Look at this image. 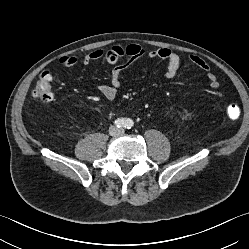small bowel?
Instances as JSON below:
<instances>
[{"label": "small bowel", "instance_id": "1", "mask_svg": "<svg viewBox=\"0 0 249 249\" xmlns=\"http://www.w3.org/2000/svg\"><path fill=\"white\" fill-rule=\"evenodd\" d=\"M148 57L157 59L166 63L164 76L167 79H173L181 66V55L169 48H156L147 51L140 44H129L127 46H113L107 50L93 49L89 51L81 59L83 65H88L94 61L104 59L107 63L114 65L110 74V83L102 84L97 87L98 92L108 100H115L121 88V75L130 67L136 60ZM125 58L126 60L119 64V61ZM190 62L196 65L199 69L206 73L209 85L212 89H217L220 86L217 76L211 71L208 63L198 55H190ZM59 64L65 68L76 66L79 59L75 56H65L59 59Z\"/></svg>", "mask_w": 249, "mask_h": 249}]
</instances>
